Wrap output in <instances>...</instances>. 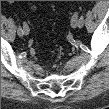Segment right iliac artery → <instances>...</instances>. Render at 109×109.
Masks as SVG:
<instances>
[{"label": "right iliac artery", "instance_id": "82829eb1", "mask_svg": "<svg viewBox=\"0 0 109 109\" xmlns=\"http://www.w3.org/2000/svg\"><path fill=\"white\" fill-rule=\"evenodd\" d=\"M17 33H18L19 36H23V34H24V31H23V29L21 28L20 25L18 27Z\"/></svg>", "mask_w": 109, "mask_h": 109}]
</instances>
